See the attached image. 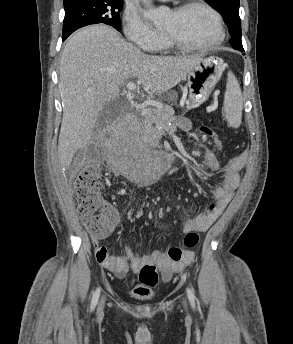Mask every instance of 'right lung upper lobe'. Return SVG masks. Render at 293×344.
Returning <instances> with one entry per match:
<instances>
[{
    "label": "right lung upper lobe",
    "mask_w": 293,
    "mask_h": 344,
    "mask_svg": "<svg viewBox=\"0 0 293 344\" xmlns=\"http://www.w3.org/2000/svg\"><path fill=\"white\" fill-rule=\"evenodd\" d=\"M78 0H64V4L70 3V2H76Z\"/></svg>",
    "instance_id": "cb5924a9"
}]
</instances>
